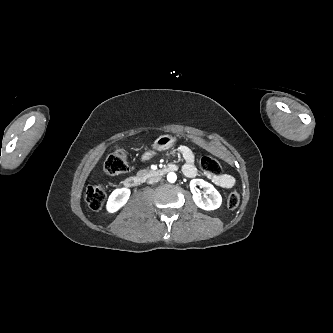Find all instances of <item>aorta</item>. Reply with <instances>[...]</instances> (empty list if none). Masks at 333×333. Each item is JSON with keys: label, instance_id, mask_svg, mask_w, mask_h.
I'll list each match as a JSON object with an SVG mask.
<instances>
[{"label": "aorta", "instance_id": "obj_1", "mask_svg": "<svg viewBox=\"0 0 333 333\" xmlns=\"http://www.w3.org/2000/svg\"><path fill=\"white\" fill-rule=\"evenodd\" d=\"M167 180L170 183H174L177 180V175L174 172H170L167 175Z\"/></svg>", "mask_w": 333, "mask_h": 333}]
</instances>
